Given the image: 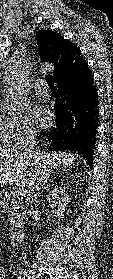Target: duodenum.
I'll use <instances>...</instances> for the list:
<instances>
[{"label": "duodenum", "mask_w": 113, "mask_h": 279, "mask_svg": "<svg viewBox=\"0 0 113 279\" xmlns=\"http://www.w3.org/2000/svg\"><path fill=\"white\" fill-rule=\"evenodd\" d=\"M23 237V227L16 225L11 231V241L17 244Z\"/></svg>", "instance_id": "duodenum-1"}]
</instances>
